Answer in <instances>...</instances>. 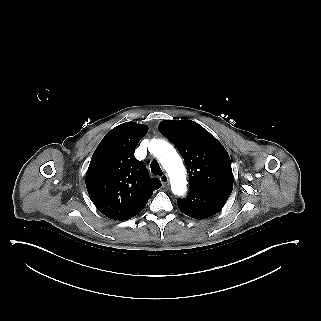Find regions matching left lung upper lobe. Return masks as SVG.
Instances as JSON below:
<instances>
[{"mask_svg":"<svg viewBox=\"0 0 321 321\" xmlns=\"http://www.w3.org/2000/svg\"><path fill=\"white\" fill-rule=\"evenodd\" d=\"M159 131L180 151L189 172L190 189L233 186L229 155L223 145L194 121H162Z\"/></svg>","mask_w":321,"mask_h":321,"instance_id":"obj_1","label":"left lung upper lobe"}]
</instances>
